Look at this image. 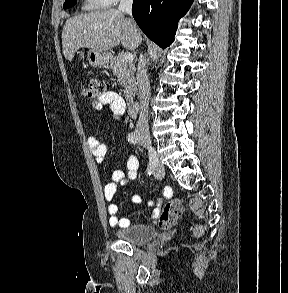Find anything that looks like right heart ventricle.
I'll return each instance as SVG.
<instances>
[{"instance_id":"right-heart-ventricle-1","label":"right heart ventricle","mask_w":288,"mask_h":293,"mask_svg":"<svg viewBox=\"0 0 288 293\" xmlns=\"http://www.w3.org/2000/svg\"><path fill=\"white\" fill-rule=\"evenodd\" d=\"M109 6L106 0H84L83 9L85 10H97L104 9Z\"/></svg>"}]
</instances>
